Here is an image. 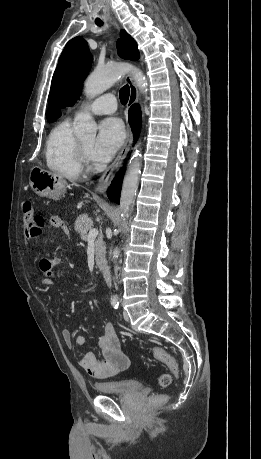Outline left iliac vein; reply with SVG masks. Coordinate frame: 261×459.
<instances>
[{
	"mask_svg": "<svg viewBox=\"0 0 261 459\" xmlns=\"http://www.w3.org/2000/svg\"><path fill=\"white\" fill-rule=\"evenodd\" d=\"M123 318H124L125 321L129 320V315H128L127 311L123 312Z\"/></svg>",
	"mask_w": 261,
	"mask_h": 459,
	"instance_id": "4c4485c4",
	"label": "left iliac vein"
}]
</instances>
